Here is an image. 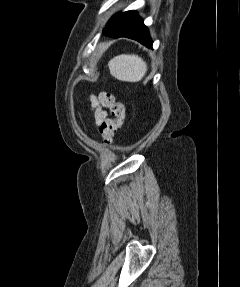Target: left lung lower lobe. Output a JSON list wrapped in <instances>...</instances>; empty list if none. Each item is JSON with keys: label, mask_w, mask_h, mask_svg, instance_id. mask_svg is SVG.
Here are the masks:
<instances>
[{"label": "left lung lower lobe", "mask_w": 240, "mask_h": 287, "mask_svg": "<svg viewBox=\"0 0 240 287\" xmlns=\"http://www.w3.org/2000/svg\"><path fill=\"white\" fill-rule=\"evenodd\" d=\"M103 34L114 38H131L152 48L148 29L135 11L119 13L112 17L104 28Z\"/></svg>", "instance_id": "0a47b994"}]
</instances>
